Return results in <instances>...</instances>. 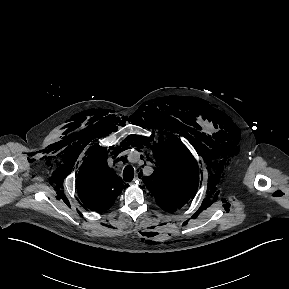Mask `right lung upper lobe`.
<instances>
[{"mask_svg":"<svg viewBox=\"0 0 289 289\" xmlns=\"http://www.w3.org/2000/svg\"><path fill=\"white\" fill-rule=\"evenodd\" d=\"M106 149L93 151L83 163L77 178V191L86 209L108 210L120 195L123 181L106 166Z\"/></svg>","mask_w":289,"mask_h":289,"instance_id":"cb5924a9","label":"right lung upper lobe"}]
</instances>
